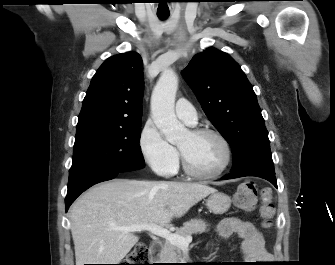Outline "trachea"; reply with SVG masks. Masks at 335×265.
<instances>
[{"mask_svg": "<svg viewBox=\"0 0 335 265\" xmlns=\"http://www.w3.org/2000/svg\"><path fill=\"white\" fill-rule=\"evenodd\" d=\"M157 15H158L159 19H161V20H165L169 17V14H157Z\"/></svg>", "mask_w": 335, "mask_h": 265, "instance_id": "1", "label": "trachea"}]
</instances>
